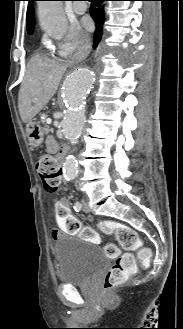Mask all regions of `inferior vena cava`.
I'll list each match as a JSON object with an SVG mask.
<instances>
[{
	"label": "inferior vena cava",
	"instance_id": "obj_1",
	"mask_svg": "<svg viewBox=\"0 0 183 329\" xmlns=\"http://www.w3.org/2000/svg\"><path fill=\"white\" fill-rule=\"evenodd\" d=\"M88 52V49L85 48V47H80L76 56H75V59L78 60V59H81L83 58Z\"/></svg>",
	"mask_w": 183,
	"mask_h": 329
}]
</instances>
